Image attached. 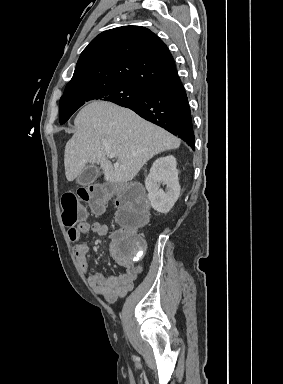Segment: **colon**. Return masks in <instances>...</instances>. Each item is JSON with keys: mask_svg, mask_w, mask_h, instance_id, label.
Wrapping results in <instances>:
<instances>
[{"mask_svg": "<svg viewBox=\"0 0 283 384\" xmlns=\"http://www.w3.org/2000/svg\"><path fill=\"white\" fill-rule=\"evenodd\" d=\"M79 200L87 203L94 213L104 212L113 200L117 209L115 220L118 229L112 240L119 254L130 261L140 260L144 256L145 243L137 230L146 221L147 203L139 186L129 183L119 186L93 184L80 188L76 193H65L62 196V218L70 228L87 216V210Z\"/></svg>", "mask_w": 283, "mask_h": 384, "instance_id": "5ec220e1", "label": "colon"}]
</instances>
